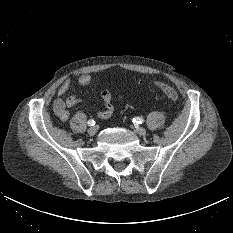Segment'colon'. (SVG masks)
Listing matches in <instances>:
<instances>
[{
  "label": "colon",
  "mask_w": 233,
  "mask_h": 233,
  "mask_svg": "<svg viewBox=\"0 0 233 233\" xmlns=\"http://www.w3.org/2000/svg\"><path fill=\"white\" fill-rule=\"evenodd\" d=\"M157 86L162 90V92L170 99L176 101L179 97L178 92L171 86L164 83H157Z\"/></svg>",
  "instance_id": "5ec220e1"
}]
</instances>
